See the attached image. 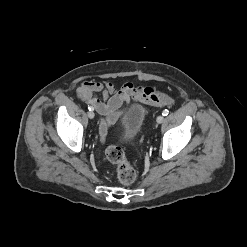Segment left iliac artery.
Here are the masks:
<instances>
[{
    "label": "left iliac artery",
    "instance_id": "1",
    "mask_svg": "<svg viewBox=\"0 0 247 247\" xmlns=\"http://www.w3.org/2000/svg\"><path fill=\"white\" fill-rule=\"evenodd\" d=\"M169 114V111L167 109L163 110L162 115L167 116Z\"/></svg>",
    "mask_w": 247,
    "mask_h": 247
}]
</instances>
